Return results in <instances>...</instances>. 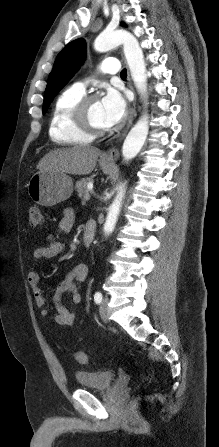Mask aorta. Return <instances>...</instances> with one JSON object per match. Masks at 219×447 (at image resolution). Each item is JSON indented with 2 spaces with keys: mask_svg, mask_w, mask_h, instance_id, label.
<instances>
[{
  "mask_svg": "<svg viewBox=\"0 0 219 447\" xmlns=\"http://www.w3.org/2000/svg\"><path fill=\"white\" fill-rule=\"evenodd\" d=\"M123 45L124 55L135 83L141 96L145 98L147 92L146 65L143 51L134 35L125 30L103 31L94 41V49L98 52L109 51L119 45ZM149 131L148 116L146 114L138 120L126 136L122 155L124 160L129 161L136 157L144 145ZM125 195L124 185L119 187L117 196L108 208L106 221L104 224L105 234L111 233L118 220Z\"/></svg>",
  "mask_w": 219,
  "mask_h": 447,
  "instance_id": "1",
  "label": "aorta"
}]
</instances>
